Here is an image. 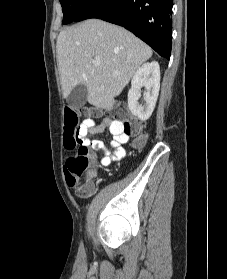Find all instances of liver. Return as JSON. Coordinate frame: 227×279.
<instances>
[{"label":"liver","mask_w":227,"mask_h":279,"mask_svg":"<svg viewBox=\"0 0 227 279\" xmlns=\"http://www.w3.org/2000/svg\"><path fill=\"white\" fill-rule=\"evenodd\" d=\"M56 48L63 97L84 84L88 102L108 111L136 70L152 56L151 48L131 32L99 19L61 31Z\"/></svg>","instance_id":"obj_1"}]
</instances>
